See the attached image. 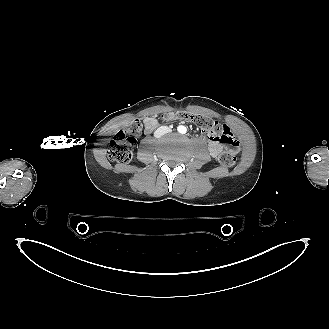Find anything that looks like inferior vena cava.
<instances>
[{
  "instance_id": "inferior-vena-cava-1",
  "label": "inferior vena cava",
  "mask_w": 329,
  "mask_h": 329,
  "mask_svg": "<svg viewBox=\"0 0 329 329\" xmlns=\"http://www.w3.org/2000/svg\"><path fill=\"white\" fill-rule=\"evenodd\" d=\"M170 131H171V129L169 127L161 126L154 132V136L156 138H160L161 136H163L166 133H169Z\"/></svg>"
}]
</instances>
